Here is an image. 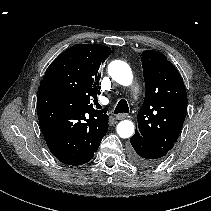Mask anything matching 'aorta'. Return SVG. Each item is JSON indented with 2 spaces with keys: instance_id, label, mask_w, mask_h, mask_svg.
<instances>
[{
  "instance_id": "aorta-1",
  "label": "aorta",
  "mask_w": 211,
  "mask_h": 211,
  "mask_svg": "<svg viewBox=\"0 0 211 211\" xmlns=\"http://www.w3.org/2000/svg\"><path fill=\"white\" fill-rule=\"evenodd\" d=\"M110 77L117 83L128 86L132 83L133 75L129 65L123 61H112L108 66ZM117 134L121 138H129L134 134L135 126L130 120H123L117 125Z\"/></svg>"
}]
</instances>
